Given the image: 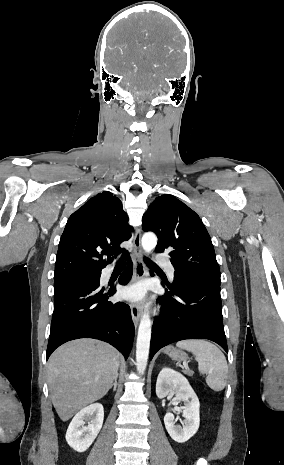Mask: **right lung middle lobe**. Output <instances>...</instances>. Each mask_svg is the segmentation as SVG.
Here are the masks:
<instances>
[{"label":"right lung middle lobe","mask_w":284,"mask_h":465,"mask_svg":"<svg viewBox=\"0 0 284 465\" xmlns=\"http://www.w3.org/2000/svg\"><path fill=\"white\" fill-rule=\"evenodd\" d=\"M98 278H99V274H94V275H84V276H79V277H74V278L57 280L54 283V292L63 287H66L72 284L87 282V281H91V280L98 279Z\"/></svg>","instance_id":"right-lung-middle-lobe-1"}]
</instances>
